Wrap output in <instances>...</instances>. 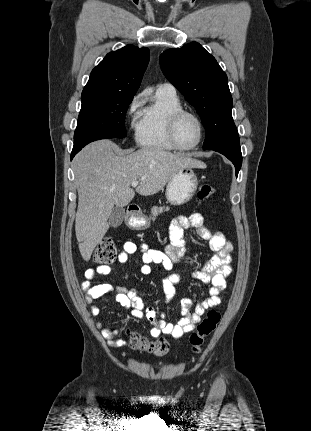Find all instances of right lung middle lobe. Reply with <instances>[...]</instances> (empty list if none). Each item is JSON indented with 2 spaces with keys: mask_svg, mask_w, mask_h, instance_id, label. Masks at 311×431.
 <instances>
[{
  "mask_svg": "<svg viewBox=\"0 0 311 431\" xmlns=\"http://www.w3.org/2000/svg\"><path fill=\"white\" fill-rule=\"evenodd\" d=\"M133 97L110 92H82L74 141L93 135L126 137L125 115Z\"/></svg>",
  "mask_w": 311,
  "mask_h": 431,
  "instance_id": "dd1d6c3e",
  "label": "right lung middle lobe"
}]
</instances>
